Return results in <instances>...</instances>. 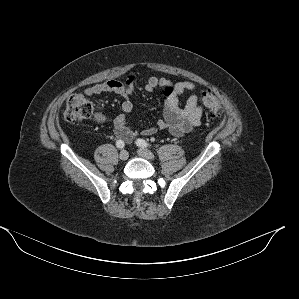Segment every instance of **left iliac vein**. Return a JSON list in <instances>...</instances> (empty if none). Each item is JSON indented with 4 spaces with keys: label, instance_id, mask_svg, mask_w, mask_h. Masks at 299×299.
Returning a JSON list of instances; mask_svg holds the SVG:
<instances>
[{
    "label": "left iliac vein",
    "instance_id": "1",
    "mask_svg": "<svg viewBox=\"0 0 299 299\" xmlns=\"http://www.w3.org/2000/svg\"><path fill=\"white\" fill-rule=\"evenodd\" d=\"M137 152H138L139 156H141L145 159H149V160L154 159L153 153L151 151L147 150V149L140 148Z\"/></svg>",
    "mask_w": 299,
    "mask_h": 299
}]
</instances>
